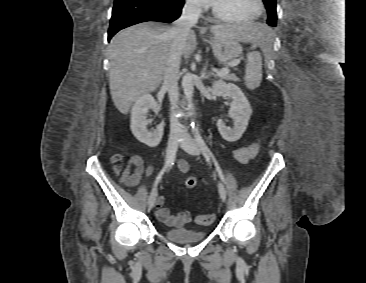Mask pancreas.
I'll use <instances>...</instances> for the list:
<instances>
[{"label": "pancreas", "instance_id": "pancreas-1", "mask_svg": "<svg viewBox=\"0 0 366 283\" xmlns=\"http://www.w3.org/2000/svg\"><path fill=\"white\" fill-rule=\"evenodd\" d=\"M226 80L239 81V79L234 74H227L223 77Z\"/></svg>", "mask_w": 366, "mask_h": 283}]
</instances>
